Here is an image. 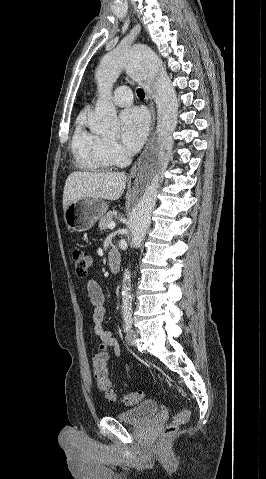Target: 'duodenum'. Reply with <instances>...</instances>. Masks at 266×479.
Returning <instances> with one entry per match:
<instances>
[{
	"label": "duodenum",
	"mask_w": 266,
	"mask_h": 479,
	"mask_svg": "<svg viewBox=\"0 0 266 479\" xmlns=\"http://www.w3.org/2000/svg\"><path fill=\"white\" fill-rule=\"evenodd\" d=\"M108 261L110 270L113 274H117L120 271L121 256L117 249L112 248L108 252Z\"/></svg>",
	"instance_id": "duodenum-1"
}]
</instances>
